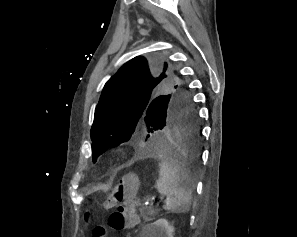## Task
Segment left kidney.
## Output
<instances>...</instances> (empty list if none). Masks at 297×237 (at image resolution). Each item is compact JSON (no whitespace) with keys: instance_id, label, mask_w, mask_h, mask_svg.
<instances>
[{"instance_id":"obj_1","label":"left kidney","mask_w":297,"mask_h":237,"mask_svg":"<svg viewBox=\"0 0 297 237\" xmlns=\"http://www.w3.org/2000/svg\"><path fill=\"white\" fill-rule=\"evenodd\" d=\"M149 237H173L174 227L166 219H158L149 227Z\"/></svg>"}]
</instances>
